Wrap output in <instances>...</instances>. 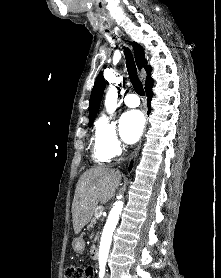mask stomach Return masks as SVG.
Masks as SVG:
<instances>
[{"instance_id":"1","label":"stomach","mask_w":221,"mask_h":278,"mask_svg":"<svg viewBox=\"0 0 221 278\" xmlns=\"http://www.w3.org/2000/svg\"><path fill=\"white\" fill-rule=\"evenodd\" d=\"M84 241L82 238H76L74 239V241L72 242V248L74 250V252L76 253H82L84 250Z\"/></svg>"}]
</instances>
